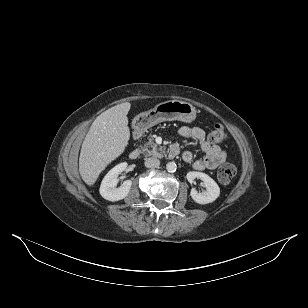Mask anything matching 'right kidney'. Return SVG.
<instances>
[{"mask_svg": "<svg viewBox=\"0 0 308 308\" xmlns=\"http://www.w3.org/2000/svg\"><path fill=\"white\" fill-rule=\"evenodd\" d=\"M126 168V162L120 163L106 174L100 186V194L104 199L114 202L124 199L128 195L132 185L131 180L124 181L120 187L116 188L118 175Z\"/></svg>", "mask_w": 308, "mask_h": 308, "instance_id": "right-kidney-1", "label": "right kidney"}]
</instances>
